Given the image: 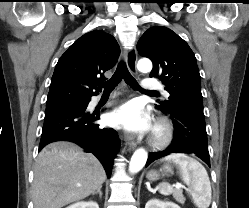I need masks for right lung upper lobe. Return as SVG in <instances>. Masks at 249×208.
Wrapping results in <instances>:
<instances>
[{"label": "right lung upper lobe", "mask_w": 249, "mask_h": 208, "mask_svg": "<svg viewBox=\"0 0 249 208\" xmlns=\"http://www.w3.org/2000/svg\"><path fill=\"white\" fill-rule=\"evenodd\" d=\"M119 53L115 38L104 31L77 39L56 64L46 106L85 101L98 94V81L106 79L104 72L114 66Z\"/></svg>", "instance_id": "1"}]
</instances>
